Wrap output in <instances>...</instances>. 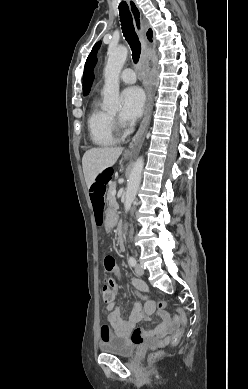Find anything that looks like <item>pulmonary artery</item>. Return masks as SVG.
Instances as JSON below:
<instances>
[{
  "label": "pulmonary artery",
  "instance_id": "pulmonary-artery-1",
  "mask_svg": "<svg viewBox=\"0 0 248 389\" xmlns=\"http://www.w3.org/2000/svg\"><path fill=\"white\" fill-rule=\"evenodd\" d=\"M120 79L125 83H134L136 81V73L133 69H124L120 74Z\"/></svg>",
  "mask_w": 248,
  "mask_h": 389
}]
</instances>
